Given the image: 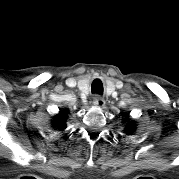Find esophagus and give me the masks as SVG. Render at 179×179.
I'll list each match as a JSON object with an SVG mask.
<instances>
[{"label":"esophagus","instance_id":"esophagus-1","mask_svg":"<svg viewBox=\"0 0 179 179\" xmlns=\"http://www.w3.org/2000/svg\"><path fill=\"white\" fill-rule=\"evenodd\" d=\"M93 104H94L95 106H98V107H104V105H105V100H104L101 96L96 95V96L94 97Z\"/></svg>","mask_w":179,"mask_h":179}]
</instances>
